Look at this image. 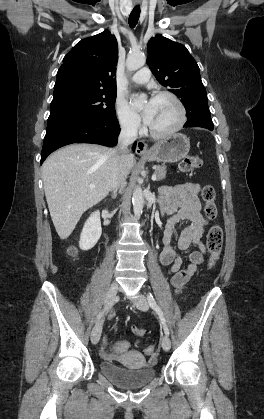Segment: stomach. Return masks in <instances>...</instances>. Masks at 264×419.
<instances>
[{"label":"stomach","instance_id":"1","mask_svg":"<svg viewBox=\"0 0 264 419\" xmlns=\"http://www.w3.org/2000/svg\"><path fill=\"white\" fill-rule=\"evenodd\" d=\"M189 150V138L184 134L176 133L165 140L157 142L152 147L151 152L145 155V158L149 161L173 163L184 158Z\"/></svg>","mask_w":264,"mask_h":419}]
</instances>
